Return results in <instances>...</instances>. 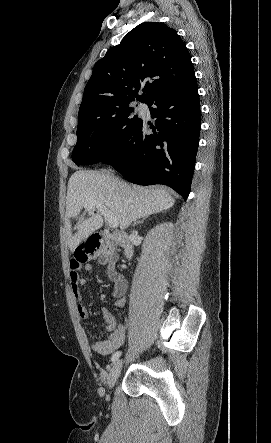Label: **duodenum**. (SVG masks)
<instances>
[{
	"instance_id": "1",
	"label": "duodenum",
	"mask_w": 271,
	"mask_h": 443,
	"mask_svg": "<svg viewBox=\"0 0 271 443\" xmlns=\"http://www.w3.org/2000/svg\"><path fill=\"white\" fill-rule=\"evenodd\" d=\"M107 237L113 238L115 241H117L120 246L123 248L124 253L126 256H130L132 253V245L128 239L127 236L119 234V235H108V234H104Z\"/></svg>"
}]
</instances>
